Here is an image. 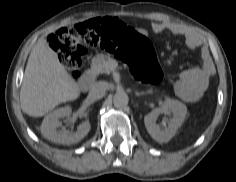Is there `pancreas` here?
<instances>
[{"instance_id":"pancreas-1","label":"pancreas","mask_w":236,"mask_h":182,"mask_svg":"<svg viewBox=\"0 0 236 182\" xmlns=\"http://www.w3.org/2000/svg\"><path fill=\"white\" fill-rule=\"evenodd\" d=\"M114 70L109 55L97 54L92 59L91 71L95 74H110Z\"/></svg>"}]
</instances>
